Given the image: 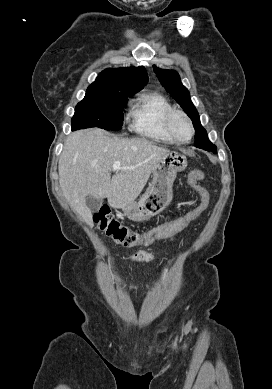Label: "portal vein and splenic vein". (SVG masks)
Instances as JSON below:
<instances>
[{"mask_svg":"<svg viewBox=\"0 0 272 389\" xmlns=\"http://www.w3.org/2000/svg\"><path fill=\"white\" fill-rule=\"evenodd\" d=\"M121 163L119 161H115L112 167L113 171H117L120 169Z\"/></svg>","mask_w":272,"mask_h":389,"instance_id":"18ae733b","label":"portal vein and splenic vein"}]
</instances>
